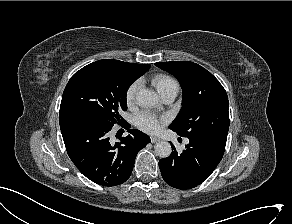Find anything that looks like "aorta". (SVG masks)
Returning a JSON list of instances; mask_svg holds the SVG:
<instances>
[{"label":"aorta","mask_w":292,"mask_h":224,"mask_svg":"<svg viewBox=\"0 0 292 224\" xmlns=\"http://www.w3.org/2000/svg\"><path fill=\"white\" fill-rule=\"evenodd\" d=\"M136 102L144 108H151L158 104V95L151 90L142 89L136 96ZM155 153L161 158H167L171 155L172 148L169 142L160 141L156 143Z\"/></svg>","instance_id":"762f6f07"}]
</instances>
